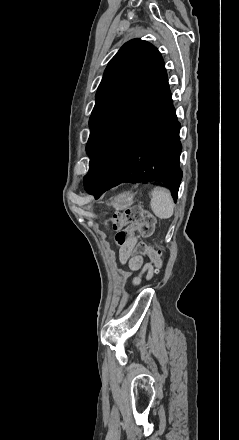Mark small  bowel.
<instances>
[{"instance_id": "c3829d8e", "label": "small bowel", "mask_w": 239, "mask_h": 440, "mask_svg": "<svg viewBox=\"0 0 239 440\" xmlns=\"http://www.w3.org/2000/svg\"><path fill=\"white\" fill-rule=\"evenodd\" d=\"M137 243V238L133 237L128 240L124 245H119V261L122 264L128 262L129 268L134 272H139L138 276L135 278L134 283L138 284L143 275L146 278H150L153 273L152 266L150 264H144L142 256L133 255V249Z\"/></svg>"}]
</instances>
